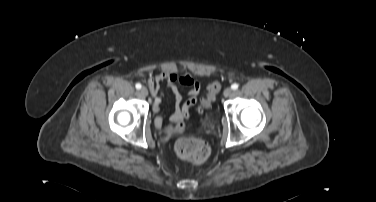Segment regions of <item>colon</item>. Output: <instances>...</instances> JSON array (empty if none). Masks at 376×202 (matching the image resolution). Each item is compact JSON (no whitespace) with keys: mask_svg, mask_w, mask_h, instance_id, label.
Wrapping results in <instances>:
<instances>
[{"mask_svg":"<svg viewBox=\"0 0 376 202\" xmlns=\"http://www.w3.org/2000/svg\"><path fill=\"white\" fill-rule=\"evenodd\" d=\"M220 83L215 81L208 86V99L220 91ZM206 104V103H205ZM176 155L184 161L202 163L209 156V145L206 141L196 137H182L175 144Z\"/></svg>","mask_w":376,"mask_h":202,"instance_id":"5ec220e1","label":"colon"}]
</instances>
